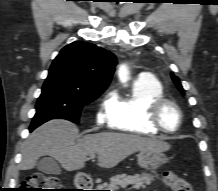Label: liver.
I'll use <instances>...</instances> for the list:
<instances>
[{
	"label": "liver",
	"instance_id": "obj_1",
	"mask_svg": "<svg viewBox=\"0 0 218 191\" xmlns=\"http://www.w3.org/2000/svg\"><path fill=\"white\" fill-rule=\"evenodd\" d=\"M78 128L73 123L55 119L44 123L25 142L21 170L35 167L44 155L54 157L67 171L85 166L89 155H98L97 164L102 168H113L131 154L142 150L168 151L166 142L134 134L100 132L88 134L76 143Z\"/></svg>",
	"mask_w": 218,
	"mask_h": 191
}]
</instances>
